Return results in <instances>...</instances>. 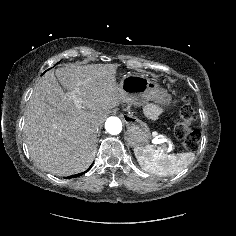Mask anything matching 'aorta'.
I'll return each instance as SVG.
<instances>
[{
    "instance_id": "1",
    "label": "aorta",
    "mask_w": 236,
    "mask_h": 236,
    "mask_svg": "<svg viewBox=\"0 0 236 236\" xmlns=\"http://www.w3.org/2000/svg\"><path fill=\"white\" fill-rule=\"evenodd\" d=\"M105 129L111 135H117L122 131V122L118 117H109L105 122Z\"/></svg>"
}]
</instances>
